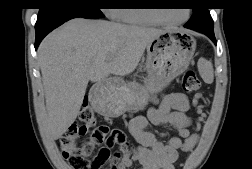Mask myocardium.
Segmentation results:
<instances>
[{
    "label": "myocardium",
    "mask_w": 252,
    "mask_h": 169,
    "mask_svg": "<svg viewBox=\"0 0 252 169\" xmlns=\"http://www.w3.org/2000/svg\"><path fill=\"white\" fill-rule=\"evenodd\" d=\"M142 14L150 21L155 22V23H162V24H181L187 21L190 16L189 10H187V12L185 13L184 18L178 21L165 20L145 10L142 12Z\"/></svg>",
    "instance_id": "myocardium-1"
}]
</instances>
